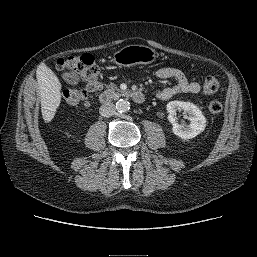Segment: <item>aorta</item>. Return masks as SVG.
I'll return each instance as SVG.
<instances>
[{
  "label": "aorta",
  "mask_w": 257,
  "mask_h": 257,
  "mask_svg": "<svg viewBox=\"0 0 257 257\" xmlns=\"http://www.w3.org/2000/svg\"><path fill=\"white\" fill-rule=\"evenodd\" d=\"M130 109V102L127 99H120L116 102V110L125 113Z\"/></svg>",
  "instance_id": "1"
}]
</instances>
